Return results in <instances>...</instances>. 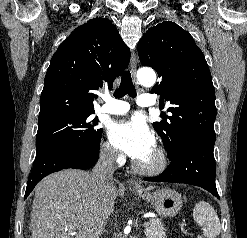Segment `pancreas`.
I'll list each match as a JSON object with an SVG mask.
<instances>
[{
  "label": "pancreas",
  "instance_id": "1",
  "mask_svg": "<svg viewBox=\"0 0 247 238\" xmlns=\"http://www.w3.org/2000/svg\"><path fill=\"white\" fill-rule=\"evenodd\" d=\"M146 238H167L166 230L164 229L161 220L150 219L145 226Z\"/></svg>",
  "mask_w": 247,
  "mask_h": 238
}]
</instances>
